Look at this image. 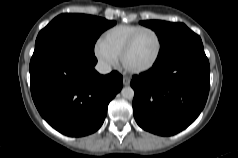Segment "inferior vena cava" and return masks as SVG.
<instances>
[{"label": "inferior vena cava", "instance_id": "inferior-vena-cava-1", "mask_svg": "<svg viewBox=\"0 0 238 158\" xmlns=\"http://www.w3.org/2000/svg\"><path fill=\"white\" fill-rule=\"evenodd\" d=\"M95 69L100 73V74H108L111 72V66L103 61H99L96 66Z\"/></svg>", "mask_w": 238, "mask_h": 158}]
</instances>
